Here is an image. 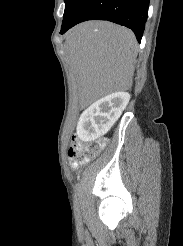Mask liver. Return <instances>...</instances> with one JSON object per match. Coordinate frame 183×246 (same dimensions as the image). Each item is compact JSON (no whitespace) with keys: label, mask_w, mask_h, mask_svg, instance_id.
Instances as JSON below:
<instances>
[{"label":"liver","mask_w":183,"mask_h":246,"mask_svg":"<svg viewBox=\"0 0 183 246\" xmlns=\"http://www.w3.org/2000/svg\"><path fill=\"white\" fill-rule=\"evenodd\" d=\"M65 51L83 103L132 86L137 41L131 30L107 21L84 22L66 33Z\"/></svg>","instance_id":"6515ba94"}]
</instances>
